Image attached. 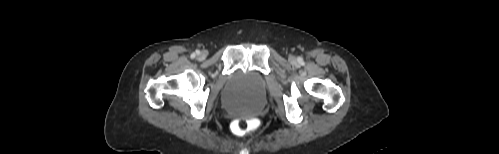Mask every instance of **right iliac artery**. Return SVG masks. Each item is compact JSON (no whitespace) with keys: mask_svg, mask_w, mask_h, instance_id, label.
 Masks as SVG:
<instances>
[{"mask_svg":"<svg viewBox=\"0 0 499 154\" xmlns=\"http://www.w3.org/2000/svg\"><path fill=\"white\" fill-rule=\"evenodd\" d=\"M196 53L198 54V53H199V51H196ZM191 57H192V58H193V57H195V53H193V54L191 55Z\"/></svg>","mask_w":499,"mask_h":154,"instance_id":"right-iliac-artery-1","label":"right iliac artery"}]
</instances>
